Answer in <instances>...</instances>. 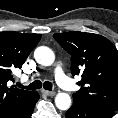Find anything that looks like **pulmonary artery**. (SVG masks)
<instances>
[{"mask_svg": "<svg viewBox=\"0 0 118 118\" xmlns=\"http://www.w3.org/2000/svg\"><path fill=\"white\" fill-rule=\"evenodd\" d=\"M54 77L56 82L60 87L67 91H71L75 88L74 84L71 82V80L66 76L64 73L62 67L60 65H57L54 70Z\"/></svg>", "mask_w": 118, "mask_h": 118, "instance_id": "obj_1", "label": "pulmonary artery"}]
</instances>
